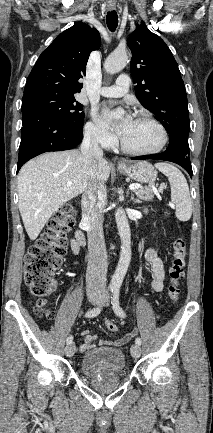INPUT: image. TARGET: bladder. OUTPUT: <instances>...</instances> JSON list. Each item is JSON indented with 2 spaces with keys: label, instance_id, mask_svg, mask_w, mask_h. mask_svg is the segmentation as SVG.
Wrapping results in <instances>:
<instances>
[{
  "label": "bladder",
  "instance_id": "1",
  "mask_svg": "<svg viewBox=\"0 0 213 433\" xmlns=\"http://www.w3.org/2000/svg\"><path fill=\"white\" fill-rule=\"evenodd\" d=\"M125 370V357L121 349L98 347L86 352L80 360V371L89 378L121 375Z\"/></svg>",
  "mask_w": 213,
  "mask_h": 433
}]
</instances>
